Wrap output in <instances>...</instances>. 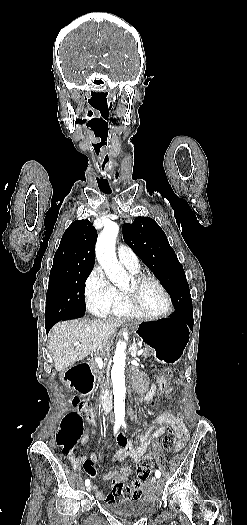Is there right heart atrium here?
<instances>
[{"instance_id":"1","label":"right heart atrium","mask_w":247,"mask_h":525,"mask_svg":"<svg viewBox=\"0 0 247 525\" xmlns=\"http://www.w3.org/2000/svg\"><path fill=\"white\" fill-rule=\"evenodd\" d=\"M116 291L99 266H94L84 283L87 309L93 315L103 316L114 306Z\"/></svg>"}]
</instances>
